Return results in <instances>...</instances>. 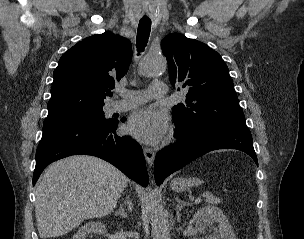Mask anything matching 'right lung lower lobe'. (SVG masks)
I'll list each match as a JSON object with an SVG mask.
<instances>
[{
    "label": "right lung lower lobe",
    "instance_id": "obj_1",
    "mask_svg": "<svg viewBox=\"0 0 304 239\" xmlns=\"http://www.w3.org/2000/svg\"><path fill=\"white\" fill-rule=\"evenodd\" d=\"M117 126L118 120L43 127L36 152L33 185L50 163L67 156L86 154L108 161L130 179L147 186L148 174L142 148L130 137L116 135Z\"/></svg>",
    "mask_w": 304,
    "mask_h": 239
}]
</instances>
